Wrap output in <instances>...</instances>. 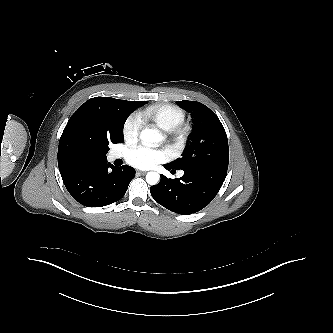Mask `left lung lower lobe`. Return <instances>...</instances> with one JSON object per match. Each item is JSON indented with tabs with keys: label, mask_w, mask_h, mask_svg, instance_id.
Returning <instances> with one entry per match:
<instances>
[{
	"label": "left lung lower lobe",
	"mask_w": 333,
	"mask_h": 333,
	"mask_svg": "<svg viewBox=\"0 0 333 333\" xmlns=\"http://www.w3.org/2000/svg\"><path fill=\"white\" fill-rule=\"evenodd\" d=\"M167 170H173L167 164ZM180 179L167 178L161 175V181L151 187L154 200L178 214L196 213L206 207L219 192L227 175V170L201 167L183 170Z\"/></svg>",
	"instance_id": "0a47b994"
}]
</instances>
